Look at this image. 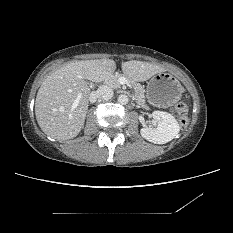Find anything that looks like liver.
<instances>
[{
	"mask_svg": "<svg viewBox=\"0 0 233 233\" xmlns=\"http://www.w3.org/2000/svg\"><path fill=\"white\" fill-rule=\"evenodd\" d=\"M123 73L133 81H146L166 69L148 62H122ZM116 69L112 59L75 61L51 73L40 86L35 115L41 130L57 140H69L82 130L89 104L87 81L101 82ZM81 94L75 109L72 105Z\"/></svg>",
	"mask_w": 233,
	"mask_h": 233,
	"instance_id": "liver-1",
	"label": "liver"
}]
</instances>
